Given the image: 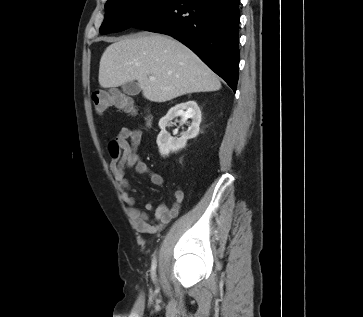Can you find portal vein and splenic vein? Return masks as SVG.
Returning a JSON list of instances; mask_svg holds the SVG:
<instances>
[{
	"label": "portal vein and splenic vein",
	"instance_id": "obj_1",
	"mask_svg": "<svg viewBox=\"0 0 363 317\" xmlns=\"http://www.w3.org/2000/svg\"><path fill=\"white\" fill-rule=\"evenodd\" d=\"M149 79H150V81H155L156 80V78L153 77V76H150Z\"/></svg>",
	"mask_w": 363,
	"mask_h": 317
}]
</instances>
